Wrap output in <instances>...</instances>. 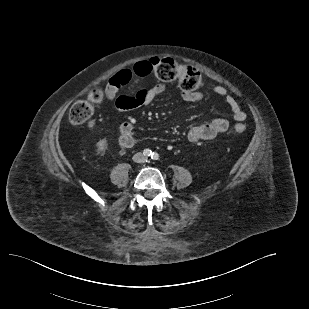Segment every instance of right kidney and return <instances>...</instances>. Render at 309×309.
Here are the masks:
<instances>
[{
  "mask_svg": "<svg viewBox=\"0 0 309 309\" xmlns=\"http://www.w3.org/2000/svg\"><path fill=\"white\" fill-rule=\"evenodd\" d=\"M97 150H96V153L99 155V154H103L105 152V149H106V141L105 140H100L97 144Z\"/></svg>",
  "mask_w": 309,
  "mask_h": 309,
  "instance_id": "right-kidney-1",
  "label": "right kidney"
}]
</instances>
